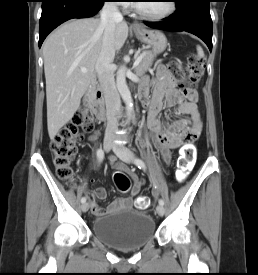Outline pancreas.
<instances>
[{
    "label": "pancreas",
    "instance_id": "1",
    "mask_svg": "<svg viewBox=\"0 0 258 275\" xmlns=\"http://www.w3.org/2000/svg\"><path fill=\"white\" fill-rule=\"evenodd\" d=\"M142 57V60L141 62L139 63V65L135 68V73L138 75V76H142L143 74H145L149 69L150 67L152 66L153 64V61H154V55L150 52H144ZM140 55V56H141Z\"/></svg>",
    "mask_w": 258,
    "mask_h": 275
}]
</instances>
